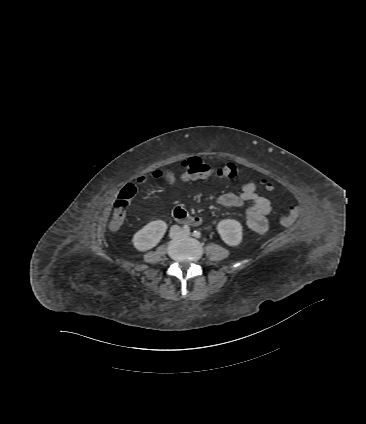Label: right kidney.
<instances>
[{
    "instance_id": "ca27d5eb",
    "label": "right kidney",
    "mask_w": 366,
    "mask_h": 424,
    "mask_svg": "<svg viewBox=\"0 0 366 424\" xmlns=\"http://www.w3.org/2000/svg\"><path fill=\"white\" fill-rule=\"evenodd\" d=\"M167 224L162 220L152 221L133 236L134 247L139 251H147L155 247L164 236Z\"/></svg>"
}]
</instances>
